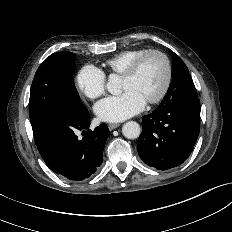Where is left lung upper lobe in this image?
<instances>
[{"mask_svg": "<svg viewBox=\"0 0 232 232\" xmlns=\"http://www.w3.org/2000/svg\"><path fill=\"white\" fill-rule=\"evenodd\" d=\"M170 53L173 57L172 82L162 103L172 101L179 97H198L185 63L172 50H170Z\"/></svg>", "mask_w": 232, "mask_h": 232, "instance_id": "left-lung-upper-lobe-1", "label": "left lung upper lobe"}]
</instances>
